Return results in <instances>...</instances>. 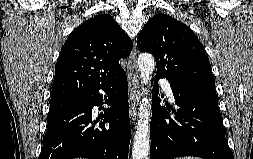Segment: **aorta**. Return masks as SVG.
<instances>
[{
  "label": "aorta",
  "mask_w": 253,
  "mask_h": 159,
  "mask_svg": "<svg viewBox=\"0 0 253 159\" xmlns=\"http://www.w3.org/2000/svg\"><path fill=\"white\" fill-rule=\"evenodd\" d=\"M138 68L140 72L141 84L143 85L142 93L144 94V97L140 102L139 119L136 126L132 148V159H149L151 105L150 99L147 97V95L148 87L150 86L151 75L155 69L154 57L147 53L139 55Z\"/></svg>",
  "instance_id": "obj_1"
}]
</instances>
